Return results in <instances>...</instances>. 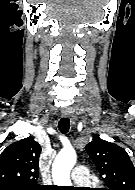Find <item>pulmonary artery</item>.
Returning a JSON list of instances; mask_svg holds the SVG:
<instances>
[{
    "instance_id": "1",
    "label": "pulmonary artery",
    "mask_w": 135,
    "mask_h": 190,
    "mask_svg": "<svg viewBox=\"0 0 135 190\" xmlns=\"http://www.w3.org/2000/svg\"><path fill=\"white\" fill-rule=\"evenodd\" d=\"M72 180L78 185H88L90 183V175L85 166H76L71 173Z\"/></svg>"
}]
</instances>
